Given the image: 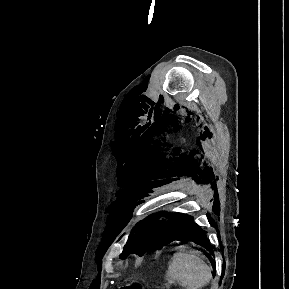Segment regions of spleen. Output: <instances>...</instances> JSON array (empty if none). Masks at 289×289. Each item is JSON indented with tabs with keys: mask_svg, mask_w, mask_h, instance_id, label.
<instances>
[{
	"mask_svg": "<svg viewBox=\"0 0 289 289\" xmlns=\"http://www.w3.org/2000/svg\"><path fill=\"white\" fill-rule=\"evenodd\" d=\"M165 277L169 284L176 282L185 289H202L212 279V273L197 251L181 250L173 255Z\"/></svg>",
	"mask_w": 289,
	"mask_h": 289,
	"instance_id": "1",
	"label": "spleen"
}]
</instances>
